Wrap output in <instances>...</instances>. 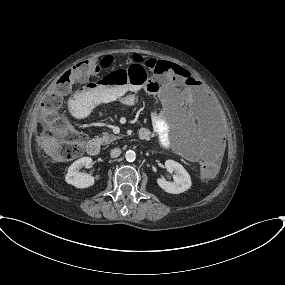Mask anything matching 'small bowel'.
Returning <instances> with one entry per match:
<instances>
[{
    "instance_id": "1",
    "label": "small bowel",
    "mask_w": 285,
    "mask_h": 285,
    "mask_svg": "<svg viewBox=\"0 0 285 285\" xmlns=\"http://www.w3.org/2000/svg\"><path fill=\"white\" fill-rule=\"evenodd\" d=\"M141 61L142 58L138 57ZM186 78L178 79L174 85L183 87V81ZM173 78H168L167 84H172ZM156 82V81H155ZM158 86L157 96L161 104V112L155 114L152 118V129L144 127L139 131L144 134L143 140H147L154 134L161 146L168 147L171 145V136L169 134V123L179 125L185 119L191 117L193 108L187 103L184 97H171L163 95ZM144 86L127 85H103L96 81L87 82L81 88L70 95L68 100V108L73 114L85 112L88 108L95 104L120 101L123 105L132 106L136 102V94L143 89ZM145 89V87H144ZM146 90V89H145ZM167 115V116H166ZM190 143V157H201L205 161L216 160L223 141L211 129L200 127L196 139L186 137ZM199 143V144H198ZM198 145H202L203 152H200Z\"/></svg>"
}]
</instances>
